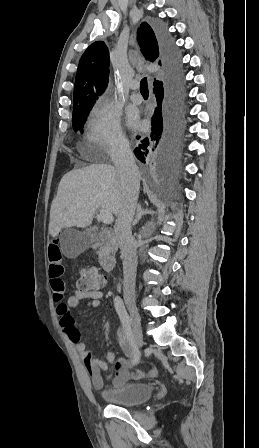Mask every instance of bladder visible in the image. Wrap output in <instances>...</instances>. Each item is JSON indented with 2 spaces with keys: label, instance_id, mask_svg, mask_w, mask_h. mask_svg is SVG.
Returning a JSON list of instances; mask_svg holds the SVG:
<instances>
[{
  "label": "bladder",
  "instance_id": "1",
  "mask_svg": "<svg viewBox=\"0 0 259 448\" xmlns=\"http://www.w3.org/2000/svg\"><path fill=\"white\" fill-rule=\"evenodd\" d=\"M152 387L146 383H129L101 392L103 400L114 405L134 406L146 402Z\"/></svg>",
  "mask_w": 259,
  "mask_h": 448
}]
</instances>
